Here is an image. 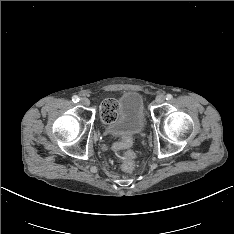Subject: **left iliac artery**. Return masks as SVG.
Here are the masks:
<instances>
[{
    "instance_id": "44dca946",
    "label": "left iliac artery",
    "mask_w": 234,
    "mask_h": 234,
    "mask_svg": "<svg viewBox=\"0 0 234 234\" xmlns=\"http://www.w3.org/2000/svg\"><path fill=\"white\" fill-rule=\"evenodd\" d=\"M172 97H173V96H172L171 94H167V95H166V99H167V100H171Z\"/></svg>"
}]
</instances>
